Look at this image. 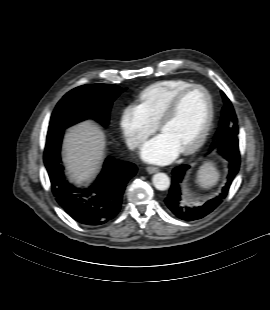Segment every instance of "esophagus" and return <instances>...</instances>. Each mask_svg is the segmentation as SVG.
<instances>
[{
  "mask_svg": "<svg viewBox=\"0 0 270 310\" xmlns=\"http://www.w3.org/2000/svg\"><path fill=\"white\" fill-rule=\"evenodd\" d=\"M146 171L149 173V174H153V173H156L159 171V168L157 167H154V166H148L146 168Z\"/></svg>",
  "mask_w": 270,
  "mask_h": 310,
  "instance_id": "34e87169",
  "label": "esophagus"
}]
</instances>
